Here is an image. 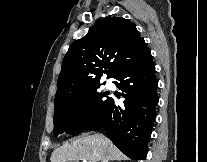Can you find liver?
I'll return each mask as SVG.
<instances>
[{
    "label": "liver",
    "mask_w": 207,
    "mask_h": 162,
    "mask_svg": "<svg viewBox=\"0 0 207 162\" xmlns=\"http://www.w3.org/2000/svg\"><path fill=\"white\" fill-rule=\"evenodd\" d=\"M125 158L110 139L103 134L93 133L84 134L55 149L50 160L51 162H79V160L109 162Z\"/></svg>",
    "instance_id": "1"
}]
</instances>
